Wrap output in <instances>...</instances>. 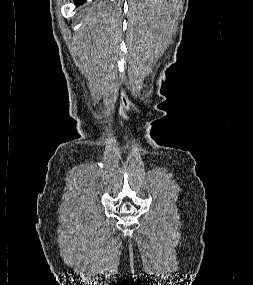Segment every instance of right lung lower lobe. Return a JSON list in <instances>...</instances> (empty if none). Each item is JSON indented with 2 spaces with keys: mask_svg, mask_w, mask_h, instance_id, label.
<instances>
[{
  "mask_svg": "<svg viewBox=\"0 0 253 285\" xmlns=\"http://www.w3.org/2000/svg\"><path fill=\"white\" fill-rule=\"evenodd\" d=\"M77 3H83L85 0H74Z\"/></svg>",
  "mask_w": 253,
  "mask_h": 285,
  "instance_id": "98d812e1",
  "label": "right lung lower lobe"
}]
</instances>
